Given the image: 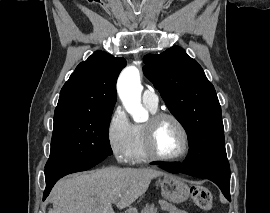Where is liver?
I'll return each instance as SVG.
<instances>
[{"mask_svg":"<svg viewBox=\"0 0 270 213\" xmlns=\"http://www.w3.org/2000/svg\"><path fill=\"white\" fill-rule=\"evenodd\" d=\"M161 175L154 168L117 167L70 175L52 189L48 213H114L113 200L119 209L130 206Z\"/></svg>","mask_w":270,"mask_h":213,"instance_id":"1","label":"liver"}]
</instances>
